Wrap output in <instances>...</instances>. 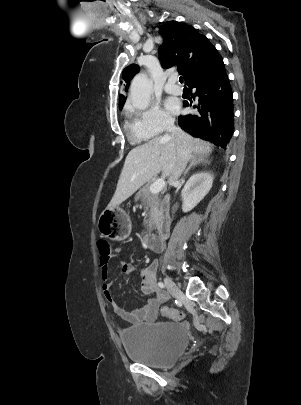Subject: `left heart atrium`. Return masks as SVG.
Masks as SVG:
<instances>
[{
	"label": "left heart atrium",
	"instance_id": "obj_1",
	"mask_svg": "<svg viewBox=\"0 0 301 405\" xmlns=\"http://www.w3.org/2000/svg\"><path fill=\"white\" fill-rule=\"evenodd\" d=\"M166 108L171 111V112H177L178 111V103L173 100V99H168L165 103Z\"/></svg>",
	"mask_w": 301,
	"mask_h": 405
}]
</instances>
